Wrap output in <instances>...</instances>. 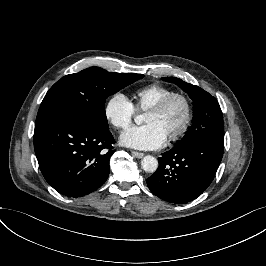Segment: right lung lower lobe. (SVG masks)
<instances>
[{"label":"right lung lower lobe","instance_id":"98d812e1","mask_svg":"<svg viewBox=\"0 0 266 266\" xmlns=\"http://www.w3.org/2000/svg\"><path fill=\"white\" fill-rule=\"evenodd\" d=\"M115 140L69 114L36 122L34 149L46 181L59 193L81 197L98 189L108 178Z\"/></svg>","mask_w":266,"mask_h":266}]
</instances>
